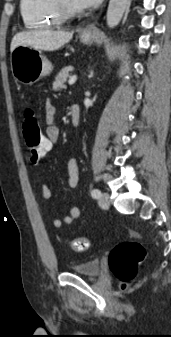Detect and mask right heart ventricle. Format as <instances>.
Segmentation results:
<instances>
[{"label": "right heart ventricle", "mask_w": 171, "mask_h": 337, "mask_svg": "<svg viewBox=\"0 0 171 337\" xmlns=\"http://www.w3.org/2000/svg\"><path fill=\"white\" fill-rule=\"evenodd\" d=\"M20 12L30 29L52 28L63 22L55 0H20Z\"/></svg>", "instance_id": "obj_1"}]
</instances>
